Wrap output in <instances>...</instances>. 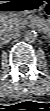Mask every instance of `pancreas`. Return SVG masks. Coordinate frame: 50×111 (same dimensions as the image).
<instances>
[{"label": "pancreas", "instance_id": "cf45deb5", "mask_svg": "<svg viewBox=\"0 0 50 111\" xmlns=\"http://www.w3.org/2000/svg\"><path fill=\"white\" fill-rule=\"evenodd\" d=\"M33 18L32 16H27L25 18H20V17H13L10 19H7L3 22V26L6 28L10 29H20L24 25L30 23H33Z\"/></svg>", "mask_w": 50, "mask_h": 111}]
</instances>
